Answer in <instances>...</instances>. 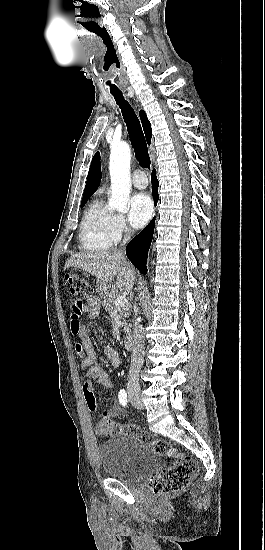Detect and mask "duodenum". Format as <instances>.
<instances>
[{"mask_svg":"<svg viewBox=\"0 0 265 550\" xmlns=\"http://www.w3.org/2000/svg\"><path fill=\"white\" fill-rule=\"evenodd\" d=\"M124 346L127 350L132 351L134 349V339L132 335H126L124 338Z\"/></svg>","mask_w":265,"mask_h":550,"instance_id":"duodenum-1","label":"duodenum"}]
</instances>
